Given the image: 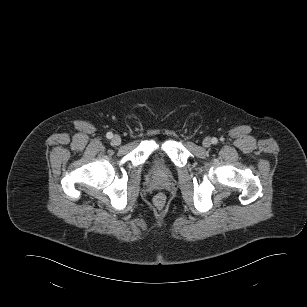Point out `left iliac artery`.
<instances>
[{
  "label": "left iliac artery",
  "mask_w": 307,
  "mask_h": 307,
  "mask_svg": "<svg viewBox=\"0 0 307 307\" xmlns=\"http://www.w3.org/2000/svg\"><path fill=\"white\" fill-rule=\"evenodd\" d=\"M212 143H213V144H216V143H217V139H216V138H213V139H212Z\"/></svg>",
  "instance_id": "44dca946"
}]
</instances>
